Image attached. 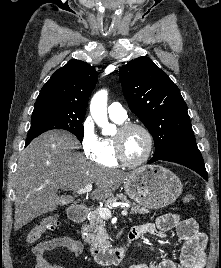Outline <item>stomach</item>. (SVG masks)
Masks as SVG:
<instances>
[{
  "label": "stomach",
  "mask_w": 221,
  "mask_h": 268,
  "mask_svg": "<svg viewBox=\"0 0 221 268\" xmlns=\"http://www.w3.org/2000/svg\"><path fill=\"white\" fill-rule=\"evenodd\" d=\"M127 196L146 208L160 209L172 204L182 192L180 179L159 165H145L124 183Z\"/></svg>",
  "instance_id": "stomach-1"
}]
</instances>
